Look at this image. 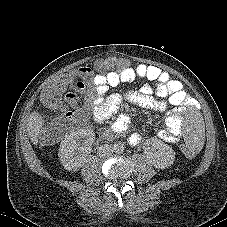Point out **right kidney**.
I'll list each match as a JSON object with an SVG mask.
<instances>
[{
  "instance_id": "right-kidney-1",
  "label": "right kidney",
  "mask_w": 227,
  "mask_h": 227,
  "mask_svg": "<svg viewBox=\"0 0 227 227\" xmlns=\"http://www.w3.org/2000/svg\"><path fill=\"white\" fill-rule=\"evenodd\" d=\"M94 140V133L85 129L66 135L58 152L62 166L68 171L80 169L91 153Z\"/></svg>"
}]
</instances>
